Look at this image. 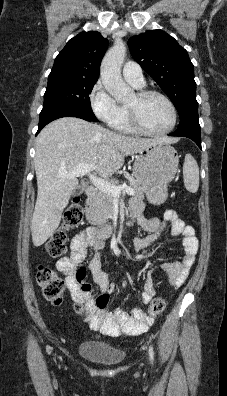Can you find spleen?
<instances>
[{
    "instance_id": "spleen-1",
    "label": "spleen",
    "mask_w": 227,
    "mask_h": 396,
    "mask_svg": "<svg viewBox=\"0 0 227 396\" xmlns=\"http://www.w3.org/2000/svg\"><path fill=\"white\" fill-rule=\"evenodd\" d=\"M183 178L185 188L191 193H196L199 188V167L191 154L185 156Z\"/></svg>"
}]
</instances>
